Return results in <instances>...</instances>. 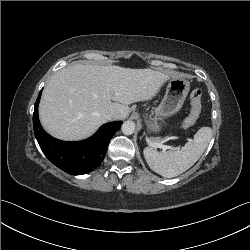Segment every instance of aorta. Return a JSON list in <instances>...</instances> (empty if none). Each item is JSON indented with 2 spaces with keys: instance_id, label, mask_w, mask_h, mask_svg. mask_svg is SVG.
Here are the masks:
<instances>
[{
  "instance_id": "762f6f07",
  "label": "aorta",
  "mask_w": 250,
  "mask_h": 250,
  "mask_svg": "<svg viewBox=\"0 0 250 250\" xmlns=\"http://www.w3.org/2000/svg\"><path fill=\"white\" fill-rule=\"evenodd\" d=\"M122 132L123 134L125 135H131L134 133L135 131V123L133 121H125L123 124H122Z\"/></svg>"
}]
</instances>
